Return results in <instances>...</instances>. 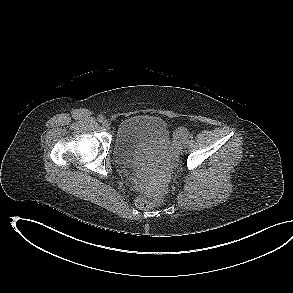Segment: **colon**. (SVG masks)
<instances>
[{"instance_id":"obj_1","label":"colon","mask_w":293,"mask_h":293,"mask_svg":"<svg viewBox=\"0 0 293 293\" xmlns=\"http://www.w3.org/2000/svg\"><path fill=\"white\" fill-rule=\"evenodd\" d=\"M179 133H182L181 129L179 130ZM162 204H163L162 199H147V198L142 197V196H139L136 199V205L140 209H150V208L160 206Z\"/></svg>"}]
</instances>
